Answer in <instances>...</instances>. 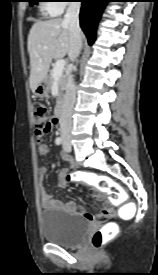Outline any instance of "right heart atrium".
<instances>
[{
    "instance_id": "d8ad5b80",
    "label": "right heart atrium",
    "mask_w": 158,
    "mask_h": 275,
    "mask_svg": "<svg viewBox=\"0 0 158 275\" xmlns=\"http://www.w3.org/2000/svg\"><path fill=\"white\" fill-rule=\"evenodd\" d=\"M74 0H54L53 3L48 4V10L52 14H59L63 11V9L68 5V2H73Z\"/></svg>"
}]
</instances>
